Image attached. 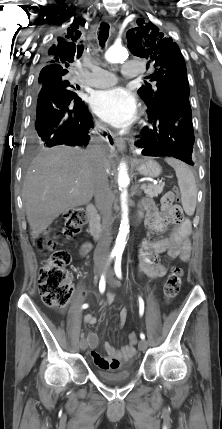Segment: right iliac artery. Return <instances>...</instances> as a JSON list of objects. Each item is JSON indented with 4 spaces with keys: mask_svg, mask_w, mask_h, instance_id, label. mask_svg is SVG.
<instances>
[{
    "mask_svg": "<svg viewBox=\"0 0 222 429\" xmlns=\"http://www.w3.org/2000/svg\"><path fill=\"white\" fill-rule=\"evenodd\" d=\"M114 257V255H110V260L112 259ZM105 286H106V281H105V275L103 274L102 276H101V278H100V281H99V290H100V292L101 293H103L104 292V290H105ZM82 308L83 309H86V308H88V304H84L83 306H82Z\"/></svg>",
    "mask_w": 222,
    "mask_h": 429,
    "instance_id": "right-iliac-artery-1",
    "label": "right iliac artery"
}]
</instances>
